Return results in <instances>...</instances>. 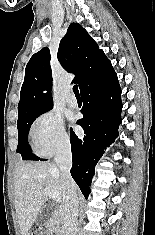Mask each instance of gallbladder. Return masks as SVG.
<instances>
[{"label":"gallbladder","instance_id":"bac80fb5","mask_svg":"<svg viewBox=\"0 0 155 235\" xmlns=\"http://www.w3.org/2000/svg\"><path fill=\"white\" fill-rule=\"evenodd\" d=\"M53 213V206L51 204H48L38 215V222L41 224L45 223L47 219H49L50 215Z\"/></svg>","mask_w":155,"mask_h":235}]
</instances>
